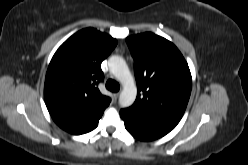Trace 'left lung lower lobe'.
<instances>
[{
  "instance_id": "obj_1",
  "label": "left lung lower lobe",
  "mask_w": 248,
  "mask_h": 165,
  "mask_svg": "<svg viewBox=\"0 0 248 165\" xmlns=\"http://www.w3.org/2000/svg\"><path fill=\"white\" fill-rule=\"evenodd\" d=\"M120 116L124 121L127 131L132 136L142 141L158 139L172 130L155 123L143 121L131 114L126 113L124 110L120 111Z\"/></svg>"
}]
</instances>
